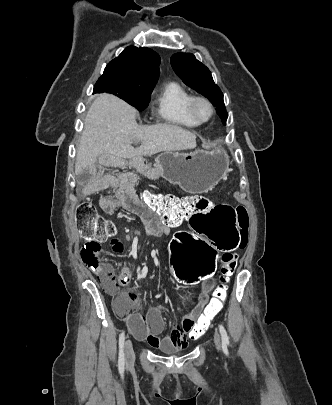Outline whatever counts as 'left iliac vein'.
Masks as SVG:
<instances>
[{"instance_id": "4c4485c4", "label": "left iliac vein", "mask_w": 332, "mask_h": 405, "mask_svg": "<svg viewBox=\"0 0 332 405\" xmlns=\"http://www.w3.org/2000/svg\"><path fill=\"white\" fill-rule=\"evenodd\" d=\"M214 343L218 351L221 350V338L218 332L214 334Z\"/></svg>"}]
</instances>
